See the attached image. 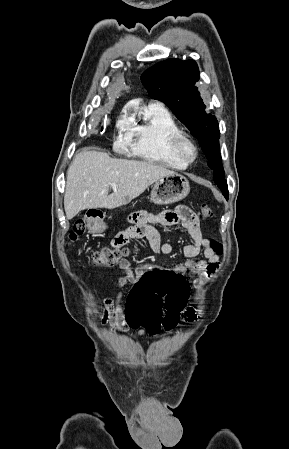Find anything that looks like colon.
Listing matches in <instances>:
<instances>
[{
	"label": "colon",
	"mask_w": 289,
	"mask_h": 449,
	"mask_svg": "<svg viewBox=\"0 0 289 449\" xmlns=\"http://www.w3.org/2000/svg\"><path fill=\"white\" fill-rule=\"evenodd\" d=\"M200 220L213 217V210L207 203L199 206ZM86 219H78L70 233V239H78L87 228ZM212 250L220 255L222 245L217 240H211ZM127 251L115 246L97 250L92 255V263L101 267L117 265L126 256ZM189 287L186 279L179 271L172 268H148L130 289L128 301H125L127 320L132 328H144L150 334H157L162 328L173 329L179 320L180 313L185 309Z\"/></svg>",
	"instance_id": "colon-1"
}]
</instances>
